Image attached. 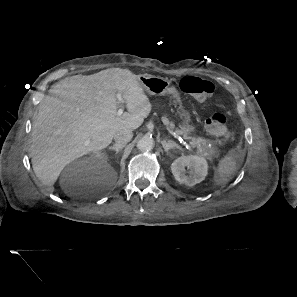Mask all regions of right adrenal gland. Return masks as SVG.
<instances>
[{
	"label": "right adrenal gland",
	"instance_id": "2a0ac1e0",
	"mask_svg": "<svg viewBox=\"0 0 297 297\" xmlns=\"http://www.w3.org/2000/svg\"><path fill=\"white\" fill-rule=\"evenodd\" d=\"M124 146H118L116 144H114L113 146L109 147V150H115L116 154L119 153V151L123 148Z\"/></svg>",
	"mask_w": 297,
	"mask_h": 297
}]
</instances>
